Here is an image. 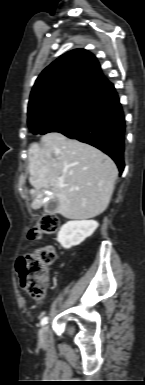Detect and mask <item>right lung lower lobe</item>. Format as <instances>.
Instances as JSON below:
<instances>
[{
  "label": "right lung lower lobe",
  "instance_id": "98d812e1",
  "mask_svg": "<svg viewBox=\"0 0 145 385\" xmlns=\"http://www.w3.org/2000/svg\"><path fill=\"white\" fill-rule=\"evenodd\" d=\"M55 132L100 149L114 160L120 173L123 171L125 119L113 85Z\"/></svg>",
  "mask_w": 145,
  "mask_h": 385
}]
</instances>
